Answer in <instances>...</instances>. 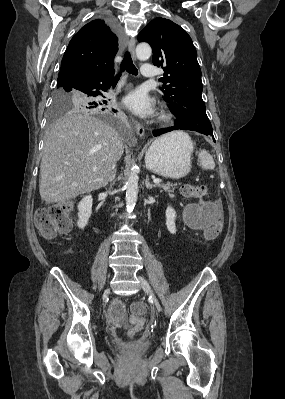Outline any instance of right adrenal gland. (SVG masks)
Wrapping results in <instances>:
<instances>
[{"label": "right adrenal gland", "mask_w": 285, "mask_h": 399, "mask_svg": "<svg viewBox=\"0 0 285 399\" xmlns=\"http://www.w3.org/2000/svg\"><path fill=\"white\" fill-rule=\"evenodd\" d=\"M115 173H116V169H113L111 175L108 178L107 183H111L115 179Z\"/></svg>", "instance_id": "1"}]
</instances>
